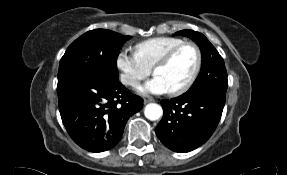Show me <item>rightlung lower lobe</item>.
Segmentation results:
<instances>
[{
    "instance_id": "right-lung-lower-lobe-1",
    "label": "right lung lower lobe",
    "mask_w": 287,
    "mask_h": 175,
    "mask_svg": "<svg viewBox=\"0 0 287 175\" xmlns=\"http://www.w3.org/2000/svg\"><path fill=\"white\" fill-rule=\"evenodd\" d=\"M58 104L63 124L76 144L90 152L114 147L130 116L140 111L143 99L119 81L75 76L58 82Z\"/></svg>"
}]
</instances>
